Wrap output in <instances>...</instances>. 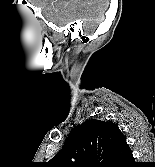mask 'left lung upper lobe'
Returning <instances> with one entry per match:
<instances>
[{
    "label": "left lung upper lobe",
    "instance_id": "obj_1",
    "mask_svg": "<svg viewBox=\"0 0 155 167\" xmlns=\"http://www.w3.org/2000/svg\"><path fill=\"white\" fill-rule=\"evenodd\" d=\"M124 135L113 122L87 120L74 128L49 167H109ZM103 159L102 162L95 161Z\"/></svg>",
    "mask_w": 155,
    "mask_h": 167
}]
</instances>
